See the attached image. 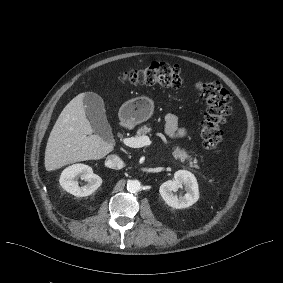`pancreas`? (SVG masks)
<instances>
[{"mask_svg":"<svg viewBox=\"0 0 283 283\" xmlns=\"http://www.w3.org/2000/svg\"><path fill=\"white\" fill-rule=\"evenodd\" d=\"M152 132V129L150 126L148 125H144L142 128H140L137 131V136L138 137H142L145 136L147 134H150ZM172 155L175 159L181 160V161H185L187 163V165L190 168H196L197 166L195 165L196 160H194L189 153H187V150L184 148H179L177 145L173 146L172 148Z\"/></svg>","mask_w":283,"mask_h":283,"instance_id":"1","label":"pancreas"}]
</instances>
